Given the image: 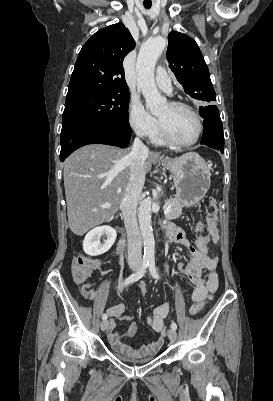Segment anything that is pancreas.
<instances>
[{
    "instance_id": "cf45deb5",
    "label": "pancreas",
    "mask_w": 273,
    "mask_h": 401,
    "mask_svg": "<svg viewBox=\"0 0 273 401\" xmlns=\"http://www.w3.org/2000/svg\"><path fill=\"white\" fill-rule=\"evenodd\" d=\"M168 202H171L172 209L169 210L167 215H165L166 221H171V219H178L182 215V207L178 198H168Z\"/></svg>"
}]
</instances>
